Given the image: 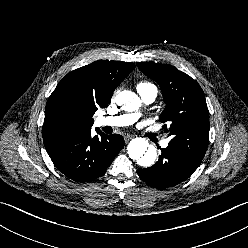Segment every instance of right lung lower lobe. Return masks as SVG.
Instances as JSON below:
<instances>
[{"instance_id":"98d812e1","label":"right lung lower lobe","mask_w":248,"mask_h":248,"mask_svg":"<svg viewBox=\"0 0 248 248\" xmlns=\"http://www.w3.org/2000/svg\"><path fill=\"white\" fill-rule=\"evenodd\" d=\"M91 131L68 136L45 145L56 168L76 182L101 177L124 146L119 134L106 135Z\"/></svg>"}]
</instances>
